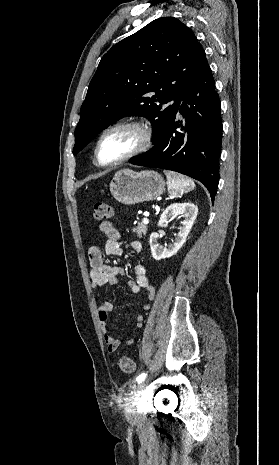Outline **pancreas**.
I'll return each instance as SVG.
<instances>
[{
	"label": "pancreas",
	"mask_w": 279,
	"mask_h": 465,
	"mask_svg": "<svg viewBox=\"0 0 279 465\" xmlns=\"http://www.w3.org/2000/svg\"><path fill=\"white\" fill-rule=\"evenodd\" d=\"M132 231L137 234L138 238H142L147 232V226L144 223H139L137 227H133Z\"/></svg>",
	"instance_id": "obj_1"
}]
</instances>
